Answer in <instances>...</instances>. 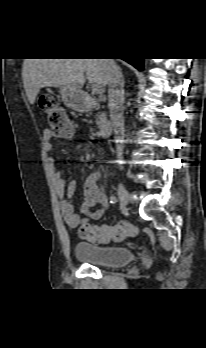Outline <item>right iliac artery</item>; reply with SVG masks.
Listing matches in <instances>:
<instances>
[{
  "label": "right iliac artery",
  "instance_id": "obj_1",
  "mask_svg": "<svg viewBox=\"0 0 206 348\" xmlns=\"http://www.w3.org/2000/svg\"><path fill=\"white\" fill-rule=\"evenodd\" d=\"M110 202L111 203H116L117 202V198L115 196H111L110 197Z\"/></svg>",
  "mask_w": 206,
  "mask_h": 348
}]
</instances>
